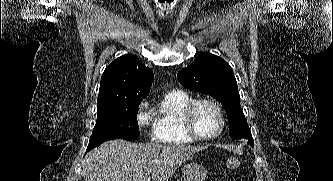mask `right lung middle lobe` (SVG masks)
Returning <instances> with one entry per match:
<instances>
[{
	"instance_id": "dd1d6c3e",
	"label": "right lung middle lobe",
	"mask_w": 333,
	"mask_h": 181,
	"mask_svg": "<svg viewBox=\"0 0 333 181\" xmlns=\"http://www.w3.org/2000/svg\"><path fill=\"white\" fill-rule=\"evenodd\" d=\"M141 101L97 109V120L88 149L113 139L135 140L139 137L137 111Z\"/></svg>"
}]
</instances>
